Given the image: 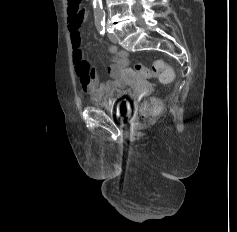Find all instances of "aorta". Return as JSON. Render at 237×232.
Here are the masks:
<instances>
[{"instance_id":"aorta-1","label":"aorta","mask_w":237,"mask_h":232,"mask_svg":"<svg viewBox=\"0 0 237 232\" xmlns=\"http://www.w3.org/2000/svg\"><path fill=\"white\" fill-rule=\"evenodd\" d=\"M94 17L97 23L105 21V12L102 6V0H93Z\"/></svg>"}]
</instances>
